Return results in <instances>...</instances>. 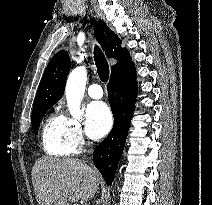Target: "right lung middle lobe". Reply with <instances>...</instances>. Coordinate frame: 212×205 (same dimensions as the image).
I'll return each instance as SVG.
<instances>
[{"instance_id": "1", "label": "right lung middle lobe", "mask_w": 212, "mask_h": 205, "mask_svg": "<svg viewBox=\"0 0 212 205\" xmlns=\"http://www.w3.org/2000/svg\"><path fill=\"white\" fill-rule=\"evenodd\" d=\"M52 106L53 105H42V106L33 108L31 121H32V129L35 134L38 133V129H39L43 116Z\"/></svg>"}]
</instances>
